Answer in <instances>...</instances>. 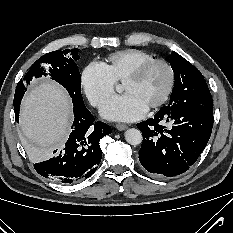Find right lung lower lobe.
I'll return each instance as SVG.
<instances>
[{
	"label": "right lung lower lobe",
	"instance_id": "obj_1",
	"mask_svg": "<svg viewBox=\"0 0 233 233\" xmlns=\"http://www.w3.org/2000/svg\"><path fill=\"white\" fill-rule=\"evenodd\" d=\"M21 100L22 97L14 99L17 122ZM73 105L74 122L69 138L59 151L44 156L34 165L40 175L66 184L88 178L96 171L102 157L99 141L112 132L106 123L94 122V116L84 104Z\"/></svg>",
	"mask_w": 233,
	"mask_h": 233
}]
</instances>
